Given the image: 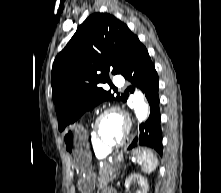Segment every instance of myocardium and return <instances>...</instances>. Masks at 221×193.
Returning <instances> with one entry per match:
<instances>
[{"label":"myocardium","instance_id":"1","mask_svg":"<svg viewBox=\"0 0 221 193\" xmlns=\"http://www.w3.org/2000/svg\"><path fill=\"white\" fill-rule=\"evenodd\" d=\"M111 112H115V113H118L120 114L125 122H126V130L122 136V138L120 139V141H118L117 143H114V144H110V143H107L105 142L100 134H99V130H98V127H99V123H100V120L108 113H111ZM130 130H131V122H130V119L129 117L118 107L116 106H109V107H106L104 108L98 115L97 117L95 118L94 122H93V125H92V136L94 138V140L96 141V143L102 147L103 149L109 151L111 149H115V148H119L121 147L125 141L127 140L129 134H130Z\"/></svg>","mask_w":221,"mask_h":193}]
</instances>
